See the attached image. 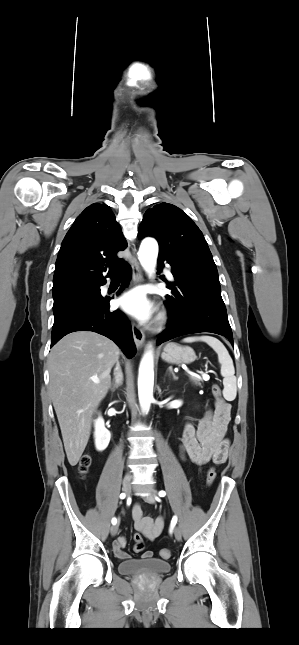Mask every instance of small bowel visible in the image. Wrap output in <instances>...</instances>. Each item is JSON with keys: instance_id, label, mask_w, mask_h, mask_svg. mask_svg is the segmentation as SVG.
<instances>
[{"instance_id": "obj_1", "label": "small bowel", "mask_w": 299, "mask_h": 645, "mask_svg": "<svg viewBox=\"0 0 299 645\" xmlns=\"http://www.w3.org/2000/svg\"><path fill=\"white\" fill-rule=\"evenodd\" d=\"M229 421V404L216 401L213 408L205 411L196 427L190 422L186 423L180 445L181 459L183 461L190 460L199 466L210 461L223 464L227 460L230 446V441L226 437ZM132 517L134 527L139 532L138 535L154 540L161 534L164 527L163 518L153 519L144 516L138 503L133 505ZM125 545L126 538L124 536H120L114 541L113 551L118 559H129V555L123 550ZM151 557V551L143 554V558Z\"/></svg>"}]
</instances>
